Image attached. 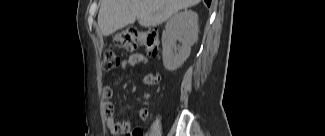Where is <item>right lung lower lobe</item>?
<instances>
[{
    "instance_id": "right-lung-lower-lobe-1",
    "label": "right lung lower lobe",
    "mask_w": 325,
    "mask_h": 136,
    "mask_svg": "<svg viewBox=\"0 0 325 136\" xmlns=\"http://www.w3.org/2000/svg\"><path fill=\"white\" fill-rule=\"evenodd\" d=\"M208 6H210L211 0H205Z\"/></svg>"
}]
</instances>
